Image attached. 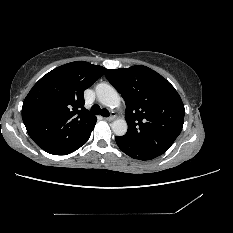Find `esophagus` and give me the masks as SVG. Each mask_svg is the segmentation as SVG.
<instances>
[{"label": "esophagus", "instance_id": "1", "mask_svg": "<svg viewBox=\"0 0 233 233\" xmlns=\"http://www.w3.org/2000/svg\"><path fill=\"white\" fill-rule=\"evenodd\" d=\"M116 118V114L112 112L111 116L104 118L106 121H113Z\"/></svg>", "mask_w": 233, "mask_h": 233}]
</instances>
